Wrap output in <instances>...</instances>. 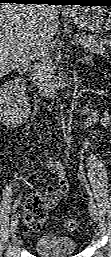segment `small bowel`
I'll use <instances>...</instances> for the list:
<instances>
[{
  "label": "small bowel",
  "instance_id": "c3829d8e",
  "mask_svg": "<svg viewBox=\"0 0 111 257\" xmlns=\"http://www.w3.org/2000/svg\"><path fill=\"white\" fill-rule=\"evenodd\" d=\"M46 165L50 172L57 175V182L55 185L47 186L43 194H34L25 202V222L33 230L40 228L45 221L47 211L57 205L68 193L69 185L61 163L50 159Z\"/></svg>",
  "mask_w": 111,
  "mask_h": 257
}]
</instances>
